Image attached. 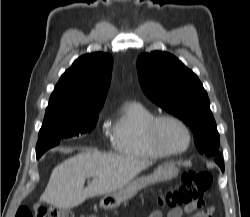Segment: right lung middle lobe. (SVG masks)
<instances>
[{
  "mask_svg": "<svg viewBox=\"0 0 250 217\" xmlns=\"http://www.w3.org/2000/svg\"><path fill=\"white\" fill-rule=\"evenodd\" d=\"M99 110L45 117L36 145L37 158L49 148L58 145L63 138L91 132L96 125Z\"/></svg>",
  "mask_w": 250,
  "mask_h": 217,
  "instance_id": "dd1d6c3e",
  "label": "right lung middle lobe"
}]
</instances>
